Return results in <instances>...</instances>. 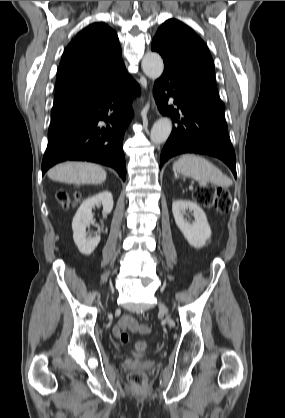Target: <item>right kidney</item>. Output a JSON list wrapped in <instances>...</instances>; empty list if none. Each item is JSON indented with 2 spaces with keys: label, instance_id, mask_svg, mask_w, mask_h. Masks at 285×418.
I'll return each mask as SVG.
<instances>
[{
  "label": "right kidney",
  "instance_id": "ca27d5eb",
  "mask_svg": "<svg viewBox=\"0 0 285 418\" xmlns=\"http://www.w3.org/2000/svg\"><path fill=\"white\" fill-rule=\"evenodd\" d=\"M95 205L103 206V214H109L113 209V196L108 191L98 193L81 204L72 221L73 239L79 251L84 255H90L100 242V235L87 237L86 227L92 222V208Z\"/></svg>",
  "mask_w": 285,
  "mask_h": 418
}]
</instances>
